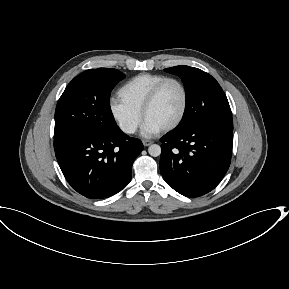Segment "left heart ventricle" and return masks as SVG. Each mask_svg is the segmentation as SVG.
<instances>
[{"label": "left heart ventricle", "mask_w": 289, "mask_h": 289, "mask_svg": "<svg viewBox=\"0 0 289 289\" xmlns=\"http://www.w3.org/2000/svg\"><path fill=\"white\" fill-rule=\"evenodd\" d=\"M182 105L183 94L180 87L176 83L170 82L160 91L154 104L148 110L145 120L162 129L177 119Z\"/></svg>", "instance_id": "left-heart-ventricle-1"}]
</instances>
